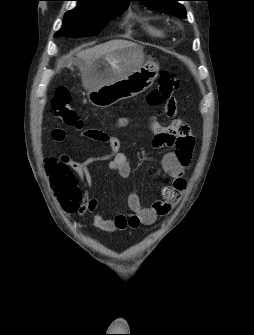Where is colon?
Wrapping results in <instances>:
<instances>
[{
	"instance_id": "5ec220e1",
	"label": "colon",
	"mask_w": 254,
	"mask_h": 335,
	"mask_svg": "<svg viewBox=\"0 0 254 335\" xmlns=\"http://www.w3.org/2000/svg\"><path fill=\"white\" fill-rule=\"evenodd\" d=\"M179 88V80L175 73L164 70L160 73L157 87L153 88L146 97L147 104L151 107H158L161 105L166 106L169 94H174ZM51 110L53 114L61 121L62 124L71 128H80L83 125V121L79 118L76 110L71 105V94L66 87H58L51 99ZM173 116V115H171ZM101 136L103 132L98 131ZM170 143L171 139H167ZM59 166L62 168L63 164L59 159L49 158L46 161V166L51 169L52 166ZM50 180L54 187H62L64 191L59 190L57 194L64 196L66 191L70 192L69 185L64 180H60L59 170L54 169L50 173ZM73 198L77 201L82 199L81 190L77 187L70 192Z\"/></svg>"
}]
</instances>
